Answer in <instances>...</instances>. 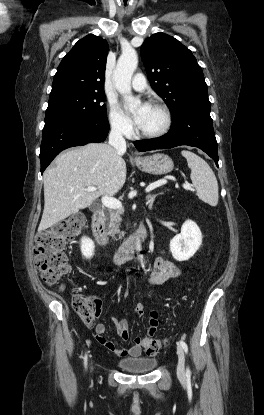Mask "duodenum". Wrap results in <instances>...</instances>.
<instances>
[{
	"instance_id": "duodenum-1",
	"label": "duodenum",
	"mask_w": 264,
	"mask_h": 415,
	"mask_svg": "<svg viewBox=\"0 0 264 415\" xmlns=\"http://www.w3.org/2000/svg\"><path fill=\"white\" fill-rule=\"evenodd\" d=\"M92 228L97 244L101 248H107L109 241L105 230V214L102 208L96 210L92 215ZM148 238L145 227L141 224L132 237L125 239L113 254V263L121 265L126 262Z\"/></svg>"
}]
</instances>
